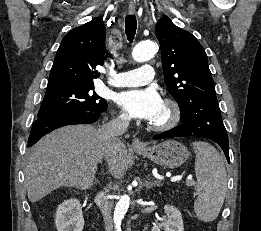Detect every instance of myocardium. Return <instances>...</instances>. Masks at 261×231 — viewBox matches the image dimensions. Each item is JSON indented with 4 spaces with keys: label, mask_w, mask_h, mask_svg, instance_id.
<instances>
[{
    "label": "myocardium",
    "mask_w": 261,
    "mask_h": 231,
    "mask_svg": "<svg viewBox=\"0 0 261 231\" xmlns=\"http://www.w3.org/2000/svg\"><path fill=\"white\" fill-rule=\"evenodd\" d=\"M162 102L168 109V117L163 122H150L148 124L151 130L157 132H164L175 128L181 119V107L175 99L167 97Z\"/></svg>",
    "instance_id": "1"
}]
</instances>
